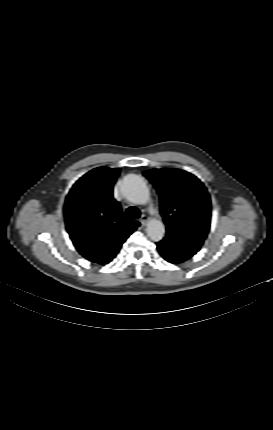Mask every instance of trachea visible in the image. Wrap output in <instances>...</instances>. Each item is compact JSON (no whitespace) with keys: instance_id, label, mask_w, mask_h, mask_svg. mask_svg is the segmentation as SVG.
Wrapping results in <instances>:
<instances>
[{"instance_id":"obj_1","label":"trachea","mask_w":273,"mask_h":430,"mask_svg":"<svg viewBox=\"0 0 273 430\" xmlns=\"http://www.w3.org/2000/svg\"><path fill=\"white\" fill-rule=\"evenodd\" d=\"M141 215V212L136 207H129L125 212L126 220L138 219Z\"/></svg>"}]
</instances>
